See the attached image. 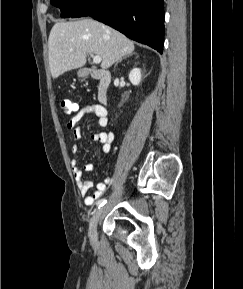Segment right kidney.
<instances>
[{"label":"right kidney","instance_id":"ca27d5eb","mask_svg":"<svg viewBox=\"0 0 243 289\" xmlns=\"http://www.w3.org/2000/svg\"><path fill=\"white\" fill-rule=\"evenodd\" d=\"M141 78H142V75H141L140 69L134 68L130 71L129 80L133 85L135 86L139 85V83L141 82Z\"/></svg>","mask_w":243,"mask_h":289}]
</instances>
